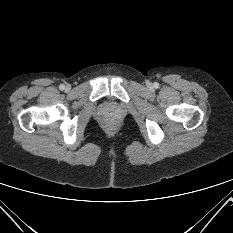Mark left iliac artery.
Wrapping results in <instances>:
<instances>
[{"label":"left iliac artery","mask_w":233,"mask_h":233,"mask_svg":"<svg viewBox=\"0 0 233 233\" xmlns=\"http://www.w3.org/2000/svg\"><path fill=\"white\" fill-rule=\"evenodd\" d=\"M154 86L157 88L158 87V83H154Z\"/></svg>","instance_id":"obj_1"}]
</instances>
